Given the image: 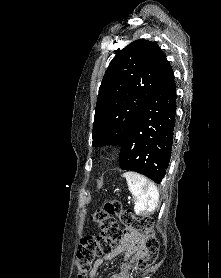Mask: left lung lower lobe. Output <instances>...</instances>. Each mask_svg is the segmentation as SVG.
Returning a JSON list of instances; mask_svg holds the SVG:
<instances>
[{
    "mask_svg": "<svg viewBox=\"0 0 221 278\" xmlns=\"http://www.w3.org/2000/svg\"><path fill=\"white\" fill-rule=\"evenodd\" d=\"M175 115L176 85L168 64L121 144V169L136 171L160 184L171 157Z\"/></svg>",
    "mask_w": 221,
    "mask_h": 278,
    "instance_id": "0a47b994",
    "label": "left lung lower lobe"
}]
</instances>
